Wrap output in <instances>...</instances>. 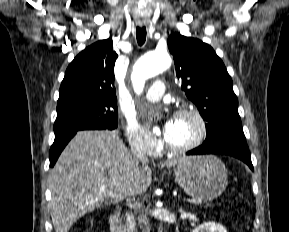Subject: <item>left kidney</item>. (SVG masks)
<instances>
[{
  "label": "left kidney",
  "instance_id": "obj_1",
  "mask_svg": "<svg viewBox=\"0 0 289 232\" xmlns=\"http://www.w3.org/2000/svg\"><path fill=\"white\" fill-rule=\"evenodd\" d=\"M193 232H227V230L219 223L205 222L197 226Z\"/></svg>",
  "mask_w": 289,
  "mask_h": 232
}]
</instances>
